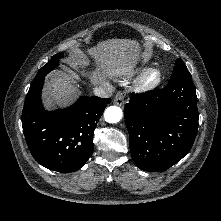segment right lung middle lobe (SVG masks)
Instances as JSON below:
<instances>
[{
  "label": "right lung middle lobe",
  "mask_w": 221,
  "mask_h": 221,
  "mask_svg": "<svg viewBox=\"0 0 221 221\" xmlns=\"http://www.w3.org/2000/svg\"><path fill=\"white\" fill-rule=\"evenodd\" d=\"M62 56H63L62 53L54 55V56L50 59V61H49L45 66H43V67L39 70V72H38V74L36 75V77H35L34 80H38V79H40V78H42V77H45V75H46L47 73H49L50 71H52L53 69H55V67L58 65V59L61 58Z\"/></svg>",
  "instance_id": "1"
}]
</instances>
